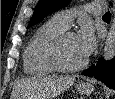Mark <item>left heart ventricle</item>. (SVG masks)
Segmentation results:
<instances>
[{
	"instance_id": "b2bd125f",
	"label": "left heart ventricle",
	"mask_w": 115,
	"mask_h": 99,
	"mask_svg": "<svg viewBox=\"0 0 115 99\" xmlns=\"http://www.w3.org/2000/svg\"><path fill=\"white\" fill-rule=\"evenodd\" d=\"M60 58L67 65H77L81 63L86 57L83 55L76 35L68 37L60 47Z\"/></svg>"
}]
</instances>
